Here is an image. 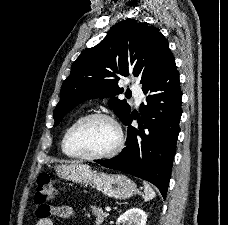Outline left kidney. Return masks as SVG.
<instances>
[{
    "label": "left kidney",
    "instance_id": "obj_1",
    "mask_svg": "<svg viewBox=\"0 0 228 225\" xmlns=\"http://www.w3.org/2000/svg\"><path fill=\"white\" fill-rule=\"evenodd\" d=\"M147 217L148 215L144 211L132 207L117 219V223L118 225H146Z\"/></svg>",
    "mask_w": 228,
    "mask_h": 225
}]
</instances>
